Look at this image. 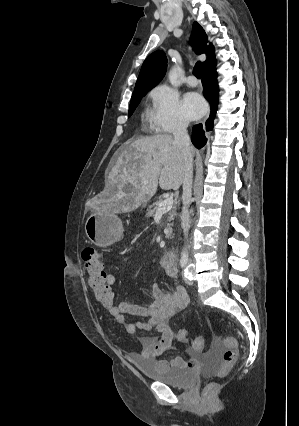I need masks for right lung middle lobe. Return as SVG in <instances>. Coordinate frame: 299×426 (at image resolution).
I'll list each match as a JSON object with an SVG mask.
<instances>
[{
	"mask_svg": "<svg viewBox=\"0 0 299 426\" xmlns=\"http://www.w3.org/2000/svg\"><path fill=\"white\" fill-rule=\"evenodd\" d=\"M147 92L148 91H139V92L133 93L132 98H131V102H130L128 117H130L132 115V113L134 112L135 108L140 103L141 98L143 96H145Z\"/></svg>",
	"mask_w": 299,
	"mask_h": 426,
	"instance_id": "obj_1",
	"label": "right lung middle lobe"
}]
</instances>
